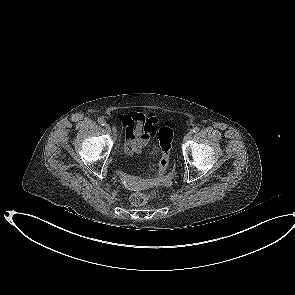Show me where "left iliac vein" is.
<instances>
[{
  "label": "left iliac vein",
  "instance_id": "obj_1",
  "mask_svg": "<svg viewBox=\"0 0 295 295\" xmlns=\"http://www.w3.org/2000/svg\"><path fill=\"white\" fill-rule=\"evenodd\" d=\"M192 137V132H188L185 136H184V141H188L189 139H191Z\"/></svg>",
  "mask_w": 295,
  "mask_h": 295
}]
</instances>
